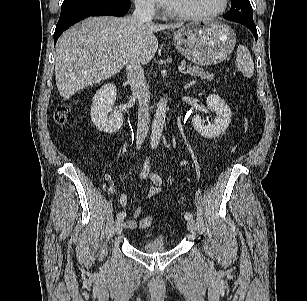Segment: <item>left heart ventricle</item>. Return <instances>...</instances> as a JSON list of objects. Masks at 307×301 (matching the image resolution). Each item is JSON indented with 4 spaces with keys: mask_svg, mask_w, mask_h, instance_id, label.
<instances>
[{
    "mask_svg": "<svg viewBox=\"0 0 307 301\" xmlns=\"http://www.w3.org/2000/svg\"><path fill=\"white\" fill-rule=\"evenodd\" d=\"M222 5V0H172L169 9L186 14L212 12Z\"/></svg>",
    "mask_w": 307,
    "mask_h": 301,
    "instance_id": "b2bd125f",
    "label": "left heart ventricle"
}]
</instances>
